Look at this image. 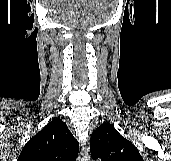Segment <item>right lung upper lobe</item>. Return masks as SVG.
<instances>
[{
	"label": "right lung upper lobe",
	"mask_w": 171,
	"mask_h": 161,
	"mask_svg": "<svg viewBox=\"0 0 171 161\" xmlns=\"http://www.w3.org/2000/svg\"><path fill=\"white\" fill-rule=\"evenodd\" d=\"M78 147L67 125L54 119L25 144L17 161H75Z\"/></svg>",
	"instance_id": "1"
}]
</instances>
